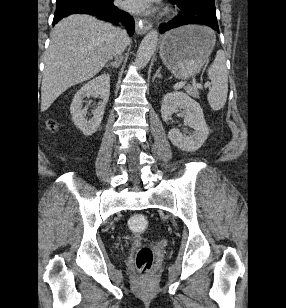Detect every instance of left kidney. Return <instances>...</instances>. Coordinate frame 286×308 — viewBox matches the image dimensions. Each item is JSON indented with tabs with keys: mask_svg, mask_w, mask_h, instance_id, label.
<instances>
[{
	"mask_svg": "<svg viewBox=\"0 0 286 308\" xmlns=\"http://www.w3.org/2000/svg\"><path fill=\"white\" fill-rule=\"evenodd\" d=\"M179 109L184 111V121L194 131L189 136H186L179 129L174 128L168 132V138L177 148L187 152H194L203 145L209 134L203 110L199 103L183 92L175 91L163 97L161 117L164 121L170 120L172 114Z\"/></svg>",
	"mask_w": 286,
	"mask_h": 308,
	"instance_id": "obj_1",
	"label": "left kidney"
}]
</instances>
